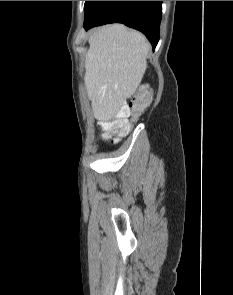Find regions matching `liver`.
I'll return each instance as SVG.
<instances>
[{
	"mask_svg": "<svg viewBox=\"0 0 233 295\" xmlns=\"http://www.w3.org/2000/svg\"><path fill=\"white\" fill-rule=\"evenodd\" d=\"M88 42L86 91L94 117L109 121L137 90L147 68L150 44L142 33L122 24L94 29Z\"/></svg>",
	"mask_w": 233,
	"mask_h": 295,
	"instance_id": "6515ba94",
	"label": "liver"
}]
</instances>
